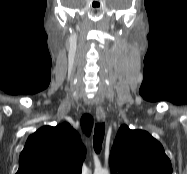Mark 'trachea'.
Masks as SVG:
<instances>
[{"label":"trachea","mask_w":187,"mask_h":174,"mask_svg":"<svg viewBox=\"0 0 187 174\" xmlns=\"http://www.w3.org/2000/svg\"><path fill=\"white\" fill-rule=\"evenodd\" d=\"M104 133H105L104 123L100 125H95L93 145H94V150L96 153H99L101 151Z\"/></svg>","instance_id":"3493384b"}]
</instances>
